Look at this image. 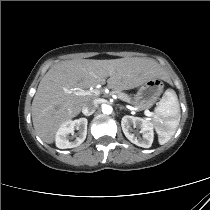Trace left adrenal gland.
Listing matches in <instances>:
<instances>
[{"mask_svg": "<svg viewBox=\"0 0 210 210\" xmlns=\"http://www.w3.org/2000/svg\"><path fill=\"white\" fill-rule=\"evenodd\" d=\"M119 108H120V109H125L123 106H120Z\"/></svg>", "mask_w": 210, "mask_h": 210, "instance_id": "left-adrenal-gland-1", "label": "left adrenal gland"}]
</instances>
